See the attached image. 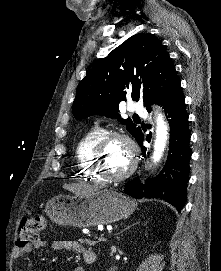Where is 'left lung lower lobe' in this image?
Wrapping results in <instances>:
<instances>
[{"label":"left lung lower lobe","mask_w":221,"mask_h":271,"mask_svg":"<svg viewBox=\"0 0 221 271\" xmlns=\"http://www.w3.org/2000/svg\"><path fill=\"white\" fill-rule=\"evenodd\" d=\"M159 105L165 110L171 129L168 159L158 176L147 179L145 184H140L139 177H137L125 185L124 193L134 198L164 199L180 212L187 197L191 158L188 113L180 82L165 95ZM135 139L140 146L143 145L144 134L142 130ZM150 139L151 134L146 136L147 141ZM145 152L146 148L142 147L143 157H145Z\"/></svg>","instance_id":"left-lung-lower-lobe-1"}]
</instances>
